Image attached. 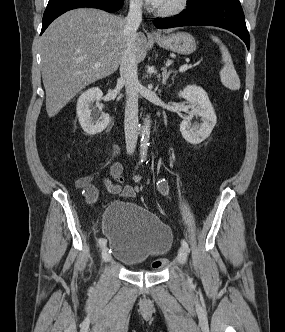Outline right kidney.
<instances>
[{"label":"right kidney","mask_w":285,"mask_h":332,"mask_svg":"<svg viewBox=\"0 0 285 332\" xmlns=\"http://www.w3.org/2000/svg\"><path fill=\"white\" fill-rule=\"evenodd\" d=\"M103 96L102 91L98 87H93L81 94L77 101V117L84 132L89 135H95L102 132L109 124V115L102 112L98 119L97 113H92L91 103L100 101ZM103 105L99 104L102 110Z\"/></svg>","instance_id":"ca27d5eb"}]
</instances>
